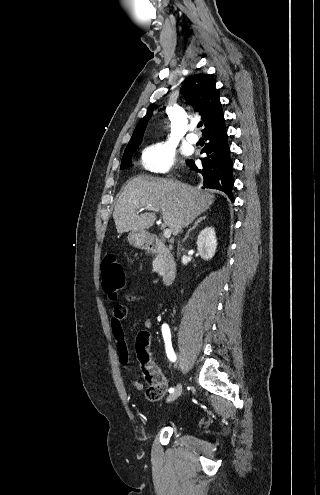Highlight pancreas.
I'll use <instances>...</instances> for the list:
<instances>
[{
	"label": "pancreas",
	"mask_w": 320,
	"mask_h": 495,
	"mask_svg": "<svg viewBox=\"0 0 320 495\" xmlns=\"http://www.w3.org/2000/svg\"><path fill=\"white\" fill-rule=\"evenodd\" d=\"M153 271L160 273L162 269L164 268V260L162 258V255H157L155 259L153 260Z\"/></svg>",
	"instance_id": "1"
}]
</instances>
